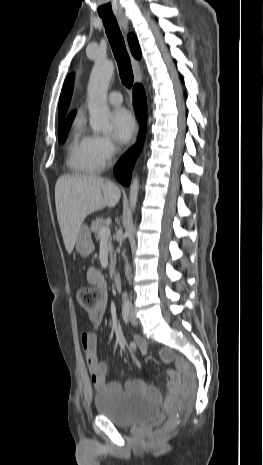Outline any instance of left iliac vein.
Listing matches in <instances>:
<instances>
[{
	"mask_svg": "<svg viewBox=\"0 0 263 465\" xmlns=\"http://www.w3.org/2000/svg\"><path fill=\"white\" fill-rule=\"evenodd\" d=\"M130 320H131L132 325L136 326L138 324V320L136 318V315L133 309L131 310V313H130Z\"/></svg>",
	"mask_w": 263,
	"mask_h": 465,
	"instance_id": "4c4485c4",
	"label": "left iliac vein"
}]
</instances>
